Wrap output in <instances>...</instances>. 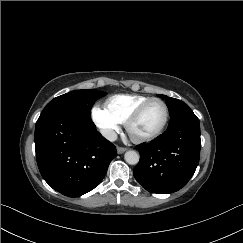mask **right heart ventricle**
I'll return each instance as SVG.
<instances>
[{
  "mask_svg": "<svg viewBox=\"0 0 243 243\" xmlns=\"http://www.w3.org/2000/svg\"><path fill=\"white\" fill-rule=\"evenodd\" d=\"M150 97L135 94H118L106 101V109L115 116L120 123H125L128 117Z\"/></svg>",
  "mask_w": 243,
  "mask_h": 243,
  "instance_id": "e07e8e85",
  "label": "right heart ventricle"
}]
</instances>
